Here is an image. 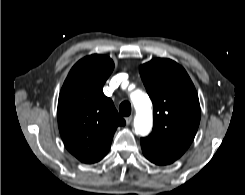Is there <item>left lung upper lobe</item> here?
<instances>
[{
    "label": "left lung upper lobe",
    "instance_id": "obj_1",
    "mask_svg": "<svg viewBox=\"0 0 245 195\" xmlns=\"http://www.w3.org/2000/svg\"><path fill=\"white\" fill-rule=\"evenodd\" d=\"M140 75L154 107V127L148 137L187 150L201 116L198 95L187 72L170 59L158 58L141 65Z\"/></svg>",
    "mask_w": 245,
    "mask_h": 195
}]
</instances>
